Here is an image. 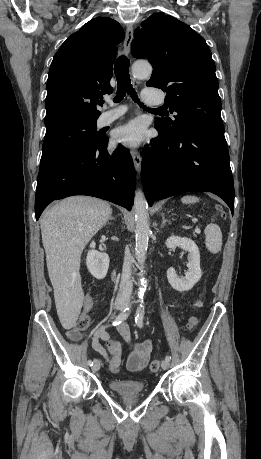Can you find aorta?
I'll return each instance as SVG.
<instances>
[{"mask_svg": "<svg viewBox=\"0 0 261 459\" xmlns=\"http://www.w3.org/2000/svg\"><path fill=\"white\" fill-rule=\"evenodd\" d=\"M152 73V67L146 62H136L132 66V75L135 79L148 78ZM135 210V256L138 263L143 268L145 263L146 253L148 248V240L150 235L148 204L146 198L140 190L135 193L134 198ZM146 280H141L140 295H143L144 288H146Z\"/></svg>", "mask_w": 261, "mask_h": 459, "instance_id": "762f6f07", "label": "aorta"}]
</instances>
